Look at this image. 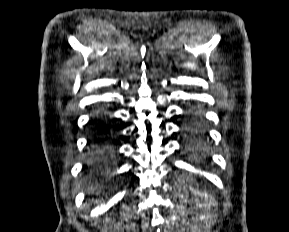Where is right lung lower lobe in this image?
I'll return each mask as SVG.
<instances>
[{
    "label": "right lung lower lobe",
    "instance_id": "98d812e1",
    "mask_svg": "<svg viewBox=\"0 0 289 232\" xmlns=\"http://www.w3.org/2000/svg\"><path fill=\"white\" fill-rule=\"evenodd\" d=\"M114 133L103 114H98L92 121V134L89 140V154L86 166L94 175H100V170L112 161Z\"/></svg>",
    "mask_w": 289,
    "mask_h": 232
}]
</instances>
